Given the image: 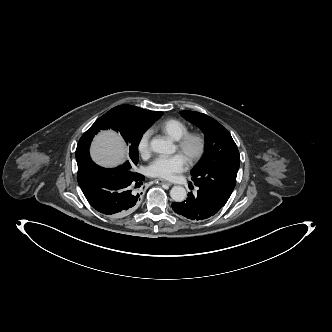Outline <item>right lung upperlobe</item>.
I'll use <instances>...</instances> for the list:
<instances>
[{
  "label": "right lung upper lobe",
  "instance_id": "obj_1",
  "mask_svg": "<svg viewBox=\"0 0 332 332\" xmlns=\"http://www.w3.org/2000/svg\"><path fill=\"white\" fill-rule=\"evenodd\" d=\"M132 108L135 109V110H137V111H139V112H149L147 110H144V109H141V108H138V107H135V106H132Z\"/></svg>",
  "mask_w": 332,
  "mask_h": 332
}]
</instances>
